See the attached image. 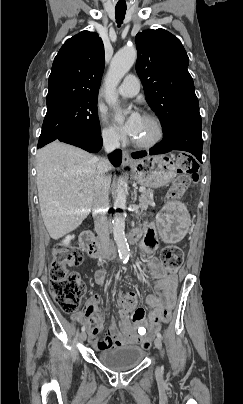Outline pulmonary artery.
Wrapping results in <instances>:
<instances>
[{
  "mask_svg": "<svg viewBox=\"0 0 243 404\" xmlns=\"http://www.w3.org/2000/svg\"><path fill=\"white\" fill-rule=\"evenodd\" d=\"M124 53H119L118 56ZM141 82L138 76L130 73L125 76L121 85L118 88V93L123 97H133L140 91Z\"/></svg>",
  "mask_w": 243,
  "mask_h": 404,
  "instance_id": "1",
  "label": "pulmonary artery"
}]
</instances>
